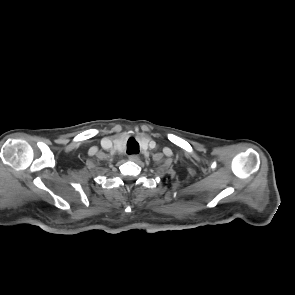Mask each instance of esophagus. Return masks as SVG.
Masks as SVG:
<instances>
[{"instance_id":"esophagus-1","label":"esophagus","mask_w":295,"mask_h":295,"mask_svg":"<svg viewBox=\"0 0 295 295\" xmlns=\"http://www.w3.org/2000/svg\"><path fill=\"white\" fill-rule=\"evenodd\" d=\"M128 158L130 161H137L139 159L138 155L136 154L129 155Z\"/></svg>"}]
</instances>
